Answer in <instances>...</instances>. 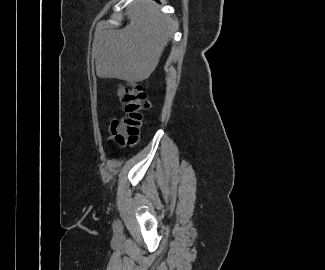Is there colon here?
Returning a JSON list of instances; mask_svg holds the SVG:
<instances>
[{
	"label": "colon",
	"mask_w": 325,
	"mask_h": 270,
	"mask_svg": "<svg viewBox=\"0 0 325 270\" xmlns=\"http://www.w3.org/2000/svg\"><path fill=\"white\" fill-rule=\"evenodd\" d=\"M118 96L126 115L117 121L112 133L121 146L135 145L143 124V111L149 106L147 96L141 85L130 82L119 86Z\"/></svg>",
	"instance_id": "obj_1"
}]
</instances>
